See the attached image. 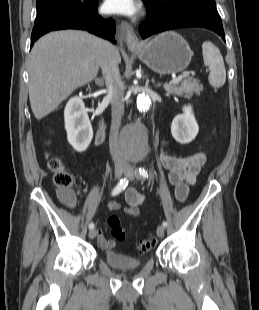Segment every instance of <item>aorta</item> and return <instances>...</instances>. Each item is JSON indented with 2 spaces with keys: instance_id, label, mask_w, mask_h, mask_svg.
I'll return each instance as SVG.
<instances>
[{
  "instance_id": "obj_1",
  "label": "aorta",
  "mask_w": 259,
  "mask_h": 310,
  "mask_svg": "<svg viewBox=\"0 0 259 310\" xmlns=\"http://www.w3.org/2000/svg\"><path fill=\"white\" fill-rule=\"evenodd\" d=\"M136 104L138 111L145 113L150 110L151 100L145 94H139ZM120 144L129 158L142 159L148 153V135L145 128L140 124L128 125L121 133Z\"/></svg>"
}]
</instances>
